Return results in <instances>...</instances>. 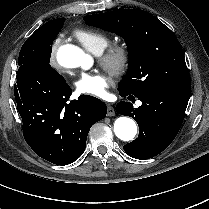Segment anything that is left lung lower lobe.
I'll return each instance as SVG.
<instances>
[{
	"label": "left lung lower lobe",
	"instance_id": "obj_1",
	"mask_svg": "<svg viewBox=\"0 0 209 209\" xmlns=\"http://www.w3.org/2000/svg\"><path fill=\"white\" fill-rule=\"evenodd\" d=\"M136 97L142 101L140 107L133 108L131 103L121 101L116 105V111L138 122V138L123 148L129 156L144 160L161 153L176 137L185 116L190 90L158 86Z\"/></svg>",
	"mask_w": 209,
	"mask_h": 209
}]
</instances>
